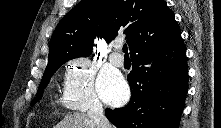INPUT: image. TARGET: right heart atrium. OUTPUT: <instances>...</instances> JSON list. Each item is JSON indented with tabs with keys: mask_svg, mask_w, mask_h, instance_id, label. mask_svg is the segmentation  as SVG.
I'll list each match as a JSON object with an SVG mask.
<instances>
[{
	"mask_svg": "<svg viewBox=\"0 0 221 128\" xmlns=\"http://www.w3.org/2000/svg\"><path fill=\"white\" fill-rule=\"evenodd\" d=\"M95 70L88 58L77 56L66 65L62 83V100L66 107L83 112L90 107H100L95 89Z\"/></svg>",
	"mask_w": 221,
	"mask_h": 128,
	"instance_id": "right-heart-atrium-1",
	"label": "right heart atrium"
}]
</instances>
